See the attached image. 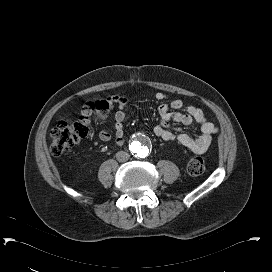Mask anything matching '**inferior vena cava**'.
<instances>
[{
	"label": "inferior vena cava",
	"instance_id": "1",
	"mask_svg": "<svg viewBox=\"0 0 272 272\" xmlns=\"http://www.w3.org/2000/svg\"><path fill=\"white\" fill-rule=\"evenodd\" d=\"M129 157H130V155L124 151H119L116 153V159L119 162H126V161H128Z\"/></svg>",
	"mask_w": 272,
	"mask_h": 272
}]
</instances>
